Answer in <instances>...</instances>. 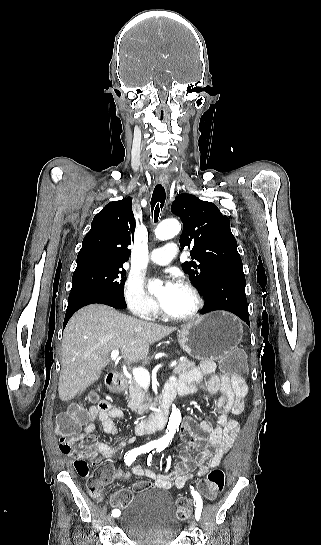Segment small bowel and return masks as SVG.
Returning <instances> with one entry per match:
<instances>
[{"label": "small bowel", "instance_id": "1", "mask_svg": "<svg viewBox=\"0 0 321 545\" xmlns=\"http://www.w3.org/2000/svg\"><path fill=\"white\" fill-rule=\"evenodd\" d=\"M207 375H211V377L205 380ZM175 383L183 395L195 393L198 386L208 393H219L220 395L212 403L213 410L217 412L215 426L205 420L197 423L191 417L186 418L181 429L182 445L179 450V462L170 473H156L139 465L132 469L134 475L147 477L153 480L157 488L162 489L172 487L182 489L190 481L204 476L219 465L223 456L231 448L239 429L238 422L230 418V415H239L243 411L244 399L248 394L244 378H234L216 373V364L211 360H206L200 366L187 370ZM122 416L123 411L120 408L103 401L99 406L90 409L84 432L91 435L94 432L95 423L99 421L105 433L116 434L117 428L114 425V419ZM134 440V438H130L128 441H120L115 447L99 442L97 444L100 454L98 461L116 456L119 450ZM193 454L196 455L193 456ZM80 461L84 462L85 470L88 473L85 459L78 458L75 464ZM99 471L108 473L104 484L126 477L122 470L108 463L101 465L97 472Z\"/></svg>", "mask_w": 321, "mask_h": 545}]
</instances>
